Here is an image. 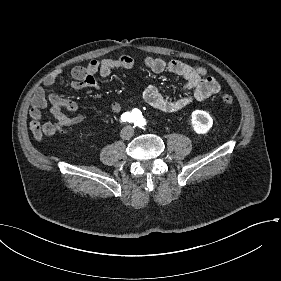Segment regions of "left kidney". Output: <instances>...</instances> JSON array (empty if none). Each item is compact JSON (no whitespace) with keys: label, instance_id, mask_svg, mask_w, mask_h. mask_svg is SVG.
I'll return each instance as SVG.
<instances>
[{"label":"left kidney","instance_id":"left-kidney-1","mask_svg":"<svg viewBox=\"0 0 281 281\" xmlns=\"http://www.w3.org/2000/svg\"><path fill=\"white\" fill-rule=\"evenodd\" d=\"M190 123L197 135H205L213 126V118L206 111L198 109L191 113Z\"/></svg>","mask_w":281,"mask_h":281}]
</instances>
